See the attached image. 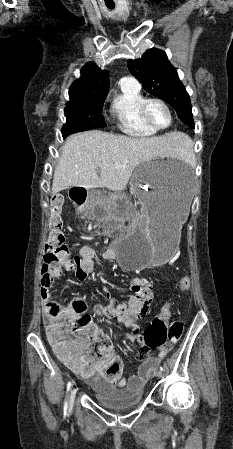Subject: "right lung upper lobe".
I'll list each match as a JSON object with an SVG mask.
<instances>
[{
  "label": "right lung upper lobe",
  "mask_w": 233,
  "mask_h": 449,
  "mask_svg": "<svg viewBox=\"0 0 233 449\" xmlns=\"http://www.w3.org/2000/svg\"><path fill=\"white\" fill-rule=\"evenodd\" d=\"M109 75L94 63H87L81 69V77L75 80L69 88V97H84L107 94Z\"/></svg>",
  "instance_id": "right-lung-upper-lobe-1"
}]
</instances>
